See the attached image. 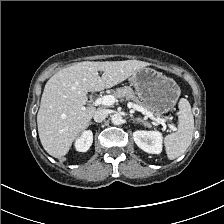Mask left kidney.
Masks as SVG:
<instances>
[{
  "instance_id": "left-kidney-1",
  "label": "left kidney",
  "mask_w": 224,
  "mask_h": 224,
  "mask_svg": "<svg viewBox=\"0 0 224 224\" xmlns=\"http://www.w3.org/2000/svg\"><path fill=\"white\" fill-rule=\"evenodd\" d=\"M136 145L149 154L162 152L163 136L159 131L137 130L133 133Z\"/></svg>"
}]
</instances>
